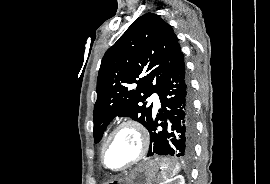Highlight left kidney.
Returning a JSON list of instances; mask_svg holds the SVG:
<instances>
[{"instance_id": "1", "label": "left kidney", "mask_w": 270, "mask_h": 184, "mask_svg": "<svg viewBox=\"0 0 270 184\" xmlns=\"http://www.w3.org/2000/svg\"><path fill=\"white\" fill-rule=\"evenodd\" d=\"M162 184H185V180H184L183 176L179 175V176H176L172 179H168L167 181H165Z\"/></svg>"}]
</instances>
